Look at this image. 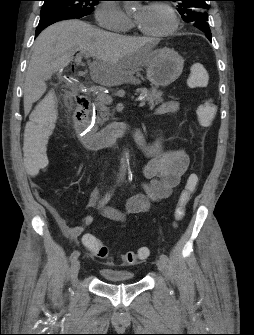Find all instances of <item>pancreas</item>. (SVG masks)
Returning <instances> with one entry per match:
<instances>
[{"label":"pancreas","mask_w":254,"mask_h":335,"mask_svg":"<svg viewBox=\"0 0 254 335\" xmlns=\"http://www.w3.org/2000/svg\"><path fill=\"white\" fill-rule=\"evenodd\" d=\"M141 96H144V101L148 102L150 109H154L158 104L163 102L162 92L153 89L151 91L139 89L137 90ZM96 125H103L110 116L109 109L102 101L98 100L96 104Z\"/></svg>","instance_id":"obj_1"}]
</instances>
